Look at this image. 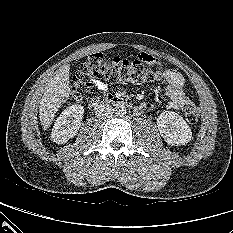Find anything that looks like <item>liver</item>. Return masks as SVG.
I'll use <instances>...</instances> for the list:
<instances>
[{
	"label": "liver",
	"mask_w": 233,
	"mask_h": 233,
	"mask_svg": "<svg viewBox=\"0 0 233 233\" xmlns=\"http://www.w3.org/2000/svg\"><path fill=\"white\" fill-rule=\"evenodd\" d=\"M69 72V65L61 66L46 87L39 109V118L44 129L51 125L58 109L69 97Z\"/></svg>",
	"instance_id": "obj_1"
}]
</instances>
